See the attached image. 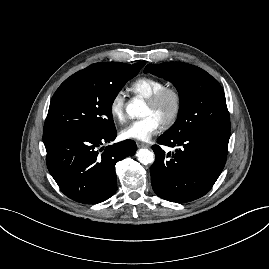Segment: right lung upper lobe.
I'll return each mask as SVG.
<instances>
[{
  "label": "right lung upper lobe",
  "mask_w": 269,
  "mask_h": 269,
  "mask_svg": "<svg viewBox=\"0 0 269 269\" xmlns=\"http://www.w3.org/2000/svg\"><path fill=\"white\" fill-rule=\"evenodd\" d=\"M145 65V62H139L133 65L125 64V63H119V62H101V63H95L87 68H102V69H124V68H131L139 70Z\"/></svg>",
  "instance_id": "obj_1"
}]
</instances>
